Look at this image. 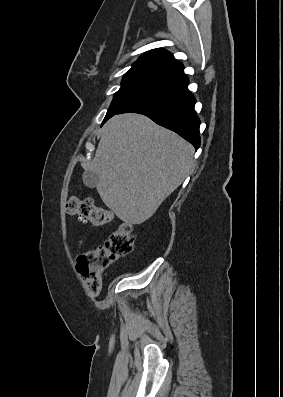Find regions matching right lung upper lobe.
Here are the masks:
<instances>
[{"instance_id":"obj_1","label":"right lung upper lobe","mask_w":283,"mask_h":397,"mask_svg":"<svg viewBox=\"0 0 283 397\" xmlns=\"http://www.w3.org/2000/svg\"><path fill=\"white\" fill-rule=\"evenodd\" d=\"M184 66L173 55L163 49H153L143 54L126 73H142L146 76L166 81L169 85L187 78Z\"/></svg>"}]
</instances>
